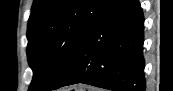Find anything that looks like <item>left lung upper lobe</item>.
I'll use <instances>...</instances> for the list:
<instances>
[{"label":"left lung upper lobe","mask_w":173,"mask_h":91,"mask_svg":"<svg viewBox=\"0 0 173 91\" xmlns=\"http://www.w3.org/2000/svg\"><path fill=\"white\" fill-rule=\"evenodd\" d=\"M111 1L34 0L27 30V55L33 70L28 91H47L61 81Z\"/></svg>","instance_id":"left-lung-upper-lobe-1"}]
</instances>
